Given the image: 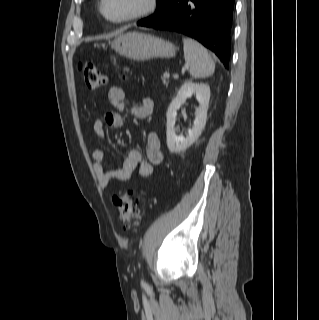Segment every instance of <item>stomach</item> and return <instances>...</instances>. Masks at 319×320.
Here are the masks:
<instances>
[{
	"label": "stomach",
	"instance_id": "stomach-1",
	"mask_svg": "<svg viewBox=\"0 0 319 320\" xmlns=\"http://www.w3.org/2000/svg\"><path fill=\"white\" fill-rule=\"evenodd\" d=\"M109 45L119 55L136 61L171 58L176 54L173 43L138 31L120 33Z\"/></svg>",
	"mask_w": 319,
	"mask_h": 320
}]
</instances>
